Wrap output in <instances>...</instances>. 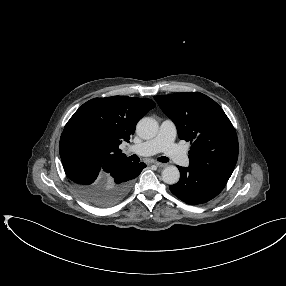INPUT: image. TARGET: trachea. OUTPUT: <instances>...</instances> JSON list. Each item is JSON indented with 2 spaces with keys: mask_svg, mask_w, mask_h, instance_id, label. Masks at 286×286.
<instances>
[{
  "mask_svg": "<svg viewBox=\"0 0 286 286\" xmlns=\"http://www.w3.org/2000/svg\"><path fill=\"white\" fill-rule=\"evenodd\" d=\"M130 159H131L132 161H134V162H139V160H140L139 157L136 156V155H132V156L130 157ZM158 161H159V162H162V163H166V162L169 161V158H167L166 156H161V157L158 158Z\"/></svg>",
  "mask_w": 286,
  "mask_h": 286,
  "instance_id": "trachea-1",
  "label": "trachea"
}]
</instances>
